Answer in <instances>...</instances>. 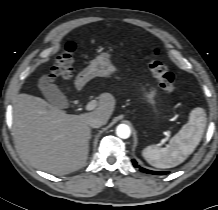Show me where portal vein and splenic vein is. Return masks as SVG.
Wrapping results in <instances>:
<instances>
[{
  "instance_id": "portal-vein-and-splenic-vein-1",
  "label": "portal vein and splenic vein",
  "mask_w": 218,
  "mask_h": 210,
  "mask_svg": "<svg viewBox=\"0 0 218 210\" xmlns=\"http://www.w3.org/2000/svg\"><path fill=\"white\" fill-rule=\"evenodd\" d=\"M96 106H97V101H96V100H92V101H90V102L86 105L85 110H86V111H91V110L95 109ZM168 138H169V136L166 135L165 139L162 140V143L166 142V141L168 140Z\"/></svg>"
}]
</instances>
